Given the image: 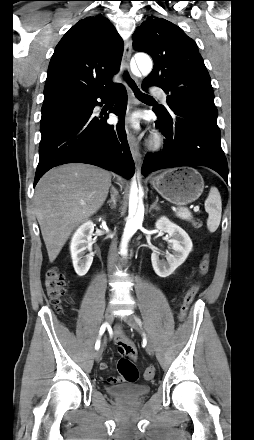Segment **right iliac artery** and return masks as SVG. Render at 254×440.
Returning <instances> with one entry per match:
<instances>
[{
    "instance_id": "82829eb1",
    "label": "right iliac artery",
    "mask_w": 254,
    "mask_h": 440,
    "mask_svg": "<svg viewBox=\"0 0 254 440\" xmlns=\"http://www.w3.org/2000/svg\"><path fill=\"white\" fill-rule=\"evenodd\" d=\"M106 327H108V324H107V323H104V324L101 326V328H100V331H99V338H98V340L96 341V344H95V349H96V350H98V349L100 348V337H101L102 334L105 332Z\"/></svg>"
}]
</instances>
